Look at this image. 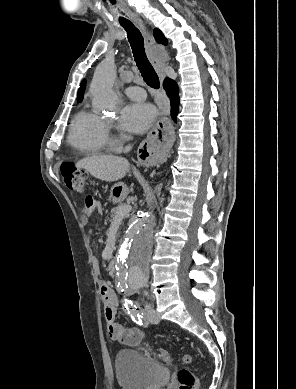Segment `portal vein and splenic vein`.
I'll return each mask as SVG.
<instances>
[{"instance_id": "18ae733b", "label": "portal vein and splenic vein", "mask_w": 296, "mask_h": 389, "mask_svg": "<svg viewBox=\"0 0 296 389\" xmlns=\"http://www.w3.org/2000/svg\"><path fill=\"white\" fill-rule=\"evenodd\" d=\"M132 207L131 205H124L122 206L118 212H117V215H116V218H122L124 217L126 214H128L130 211H131Z\"/></svg>"}]
</instances>
